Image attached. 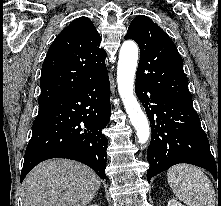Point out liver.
Returning <instances> with one entry per match:
<instances>
[{
  "instance_id": "obj_1",
  "label": "liver",
  "mask_w": 221,
  "mask_h": 206,
  "mask_svg": "<svg viewBox=\"0 0 221 206\" xmlns=\"http://www.w3.org/2000/svg\"><path fill=\"white\" fill-rule=\"evenodd\" d=\"M101 184L96 173L79 162L47 160L34 167L23 186L24 206H86Z\"/></svg>"
}]
</instances>
